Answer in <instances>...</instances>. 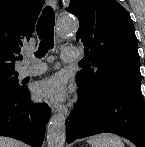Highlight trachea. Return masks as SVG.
<instances>
[{
    "label": "trachea",
    "instance_id": "obj_1",
    "mask_svg": "<svg viewBox=\"0 0 145 147\" xmlns=\"http://www.w3.org/2000/svg\"><path fill=\"white\" fill-rule=\"evenodd\" d=\"M54 24L55 14L50 6H47L37 23V35L40 38L39 49L35 53L37 58H42L46 55L49 49L54 46Z\"/></svg>",
    "mask_w": 145,
    "mask_h": 147
}]
</instances>
